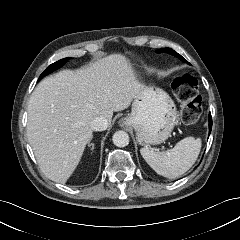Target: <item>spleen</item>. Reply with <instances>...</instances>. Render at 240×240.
<instances>
[{"instance_id": "1", "label": "spleen", "mask_w": 240, "mask_h": 240, "mask_svg": "<svg viewBox=\"0 0 240 240\" xmlns=\"http://www.w3.org/2000/svg\"><path fill=\"white\" fill-rule=\"evenodd\" d=\"M201 150V139L192 136L179 141L174 148L159 152L148 147L140 153L148 165L159 175L177 178L183 175L195 163Z\"/></svg>"}]
</instances>
